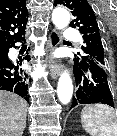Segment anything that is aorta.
<instances>
[{
    "label": "aorta",
    "mask_w": 117,
    "mask_h": 136,
    "mask_svg": "<svg viewBox=\"0 0 117 136\" xmlns=\"http://www.w3.org/2000/svg\"><path fill=\"white\" fill-rule=\"evenodd\" d=\"M52 21L57 29H64L69 25L70 14L64 8H56L52 13ZM57 94L59 101L66 105L71 101L73 95V84L70 75L67 72L61 74Z\"/></svg>",
    "instance_id": "762f6f07"
}]
</instances>
